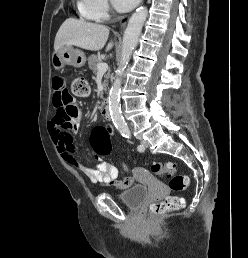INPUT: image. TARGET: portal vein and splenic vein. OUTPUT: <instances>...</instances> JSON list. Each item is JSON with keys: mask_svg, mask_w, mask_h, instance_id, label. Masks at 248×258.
Instances as JSON below:
<instances>
[{"mask_svg": "<svg viewBox=\"0 0 248 258\" xmlns=\"http://www.w3.org/2000/svg\"><path fill=\"white\" fill-rule=\"evenodd\" d=\"M97 69H98L99 73H104L107 71L108 65L105 62H101V63L97 64Z\"/></svg>", "mask_w": 248, "mask_h": 258, "instance_id": "1", "label": "portal vein and splenic vein"}]
</instances>
